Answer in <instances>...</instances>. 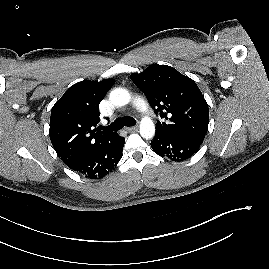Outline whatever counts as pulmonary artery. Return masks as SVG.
I'll return each mask as SVG.
<instances>
[{
    "mask_svg": "<svg viewBox=\"0 0 269 269\" xmlns=\"http://www.w3.org/2000/svg\"><path fill=\"white\" fill-rule=\"evenodd\" d=\"M134 106L143 114H148L149 109L146 101L141 97H135L134 98Z\"/></svg>",
    "mask_w": 269,
    "mask_h": 269,
    "instance_id": "1",
    "label": "pulmonary artery"
}]
</instances>
